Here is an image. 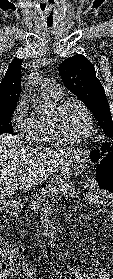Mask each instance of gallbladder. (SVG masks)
Wrapping results in <instances>:
<instances>
[{
	"instance_id": "1",
	"label": "gallbladder",
	"mask_w": 113,
	"mask_h": 279,
	"mask_svg": "<svg viewBox=\"0 0 113 279\" xmlns=\"http://www.w3.org/2000/svg\"><path fill=\"white\" fill-rule=\"evenodd\" d=\"M4 207H5V201L3 199H0V212H2Z\"/></svg>"
}]
</instances>
